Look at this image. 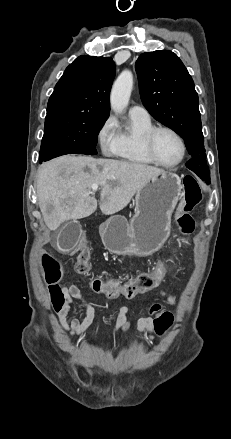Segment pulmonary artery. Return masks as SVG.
Segmentation results:
<instances>
[{
  "instance_id": "obj_1",
  "label": "pulmonary artery",
  "mask_w": 231,
  "mask_h": 439,
  "mask_svg": "<svg viewBox=\"0 0 231 439\" xmlns=\"http://www.w3.org/2000/svg\"><path fill=\"white\" fill-rule=\"evenodd\" d=\"M129 116L144 119V120L150 119L149 112L143 106L140 105L132 106L129 110Z\"/></svg>"
}]
</instances>
